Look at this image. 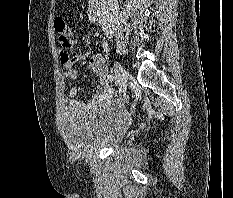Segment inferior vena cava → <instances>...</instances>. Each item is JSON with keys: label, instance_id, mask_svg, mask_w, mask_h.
Instances as JSON below:
<instances>
[{"label": "inferior vena cava", "instance_id": "obj_1", "mask_svg": "<svg viewBox=\"0 0 233 198\" xmlns=\"http://www.w3.org/2000/svg\"><path fill=\"white\" fill-rule=\"evenodd\" d=\"M100 7L103 32L108 39H111L118 17V0H100Z\"/></svg>", "mask_w": 233, "mask_h": 198}]
</instances>
